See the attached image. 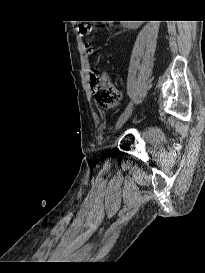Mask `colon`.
I'll return each mask as SVG.
<instances>
[{
	"label": "colon",
	"instance_id": "obj_1",
	"mask_svg": "<svg viewBox=\"0 0 205 273\" xmlns=\"http://www.w3.org/2000/svg\"><path fill=\"white\" fill-rule=\"evenodd\" d=\"M78 28L82 35H87L92 30L91 25L86 23H79ZM90 87L96 104L102 108H111L120 99V90L113 84L106 73H100L96 70L92 71Z\"/></svg>",
	"mask_w": 205,
	"mask_h": 273
}]
</instances>
